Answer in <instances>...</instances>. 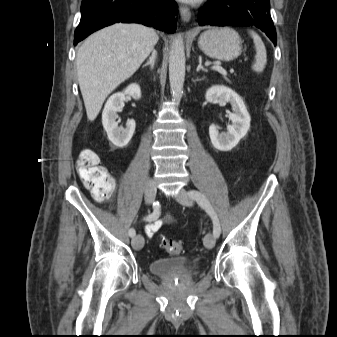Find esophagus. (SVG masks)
Segmentation results:
<instances>
[{"mask_svg":"<svg viewBox=\"0 0 337 337\" xmlns=\"http://www.w3.org/2000/svg\"><path fill=\"white\" fill-rule=\"evenodd\" d=\"M180 10V15H181V19L183 22H189V20L191 19V11L188 7L185 6H180L179 7Z\"/></svg>","mask_w":337,"mask_h":337,"instance_id":"1","label":"esophagus"}]
</instances>
